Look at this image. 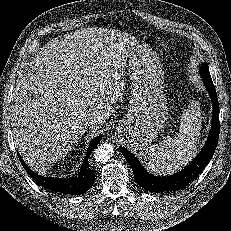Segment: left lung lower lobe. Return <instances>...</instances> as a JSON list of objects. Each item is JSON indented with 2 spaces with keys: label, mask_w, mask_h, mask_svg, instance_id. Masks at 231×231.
Instances as JSON below:
<instances>
[{
  "label": "left lung lower lobe",
  "mask_w": 231,
  "mask_h": 231,
  "mask_svg": "<svg viewBox=\"0 0 231 231\" xmlns=\"http://www.w3.org/2000/svg\"><path fill=\"white\" fill-rule=\"evenodd\" d=\"M203 82L212 98V125L206 144L189 166L177 174L157 177L149 174L132 153L120 147V151L133 170L137 184L145 190L155 193L180 190L194 181L211 160L217 146L220 131L219 103L212 79L203 78Z\"/></svg>",
  "instance_id": "left-lung-lower-lobe-1"
}]
</instances>
